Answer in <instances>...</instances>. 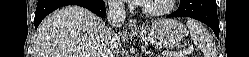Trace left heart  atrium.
<instances>
[{"instance_id": "1", "label": "left heart atrium", "mask_w": 249, "mask_h": 57, "mask_svg": "<svg viewBox=\"0 0 249 57\" xmlns=\"http://www.w3.org/2000/svg\"><path fill=\"white\" fill-rule=\"evenodd\" d=\"M130 2H132V3H134V4L141 5V4L146 3L147 0H130Z\"/></svg>"}]
</instances>
